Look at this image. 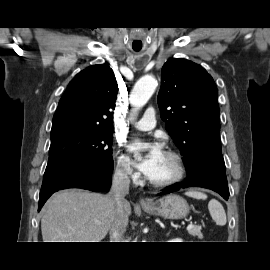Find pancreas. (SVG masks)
<instances>
[{
	"label": "pancreas",
	"mask_w": 270,
	"mask_h": 270,
	"mask_svg": "<svg viewBox=\"0 0 270 270\" xmlns=\"http://www.w3.org/2000/svg\"><path fill=\"white\" fill-rule=\"evenodd\" d=\"M188 233L193 236H197L198 238H203V234L201 232V227L194 226L193 228L188 230Z\"/></svg>",
	"instance_id": "obj_1"
}]
</instances>
